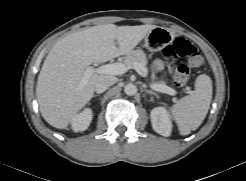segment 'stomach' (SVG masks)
Instances as JSON below:
<instances>
[{"instance_id":"1","label":"stomach","mask_w":246,"mask_h":181,"mask_svg":"<svg viewBox=\"0 0 246 181\" xmlns=\"http://www.w3.org/2000/svg\"><path fill=\"white\" fill-rule=\"evenodd\" d=\"M172 32L163 27H156L144 39V47L150 51H158L173 41Z\"/></svg>"}]
</instances>
